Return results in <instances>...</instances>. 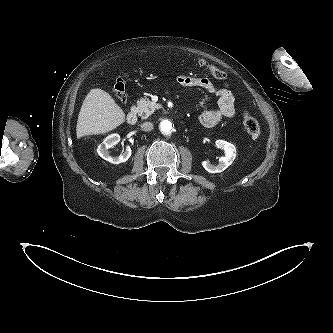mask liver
Here are the masks:
<instances>
[{"label":"liver","instance_id":"liver-1","mask_svg":"<svg viewBox=\"0 0 333 333\" xmlns=\"http://www.w3.org/2000/svg\"><path fill=\"white\" fill-rule=\"evenodd\" d=\"M125 122V113L106 91L95 88L86 95L78 115L77 138L104 134Z\"/></svg>","mask_w":333,"mask_h":333}]
</instances>
